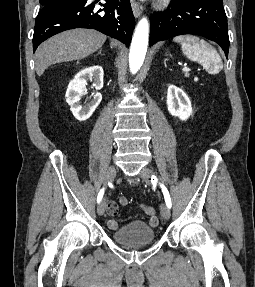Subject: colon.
Here are the masks:
<instances>
[{
  "label": "colon",
  "mask_w": 255,
  "mask_h": 287,
  "mask_svg": "<svg viewBox=\"0 0 255 287\" xmlns=\"http://www.w3.org/2000/svg\"><path fill=\"white\" fill-rule=\"evenodd\" d=\"M141 208L147 215L156 217V210L153 207L142 205Z\"/></svg>",
  "instance_id": "colon-1"
}]
</instances>
